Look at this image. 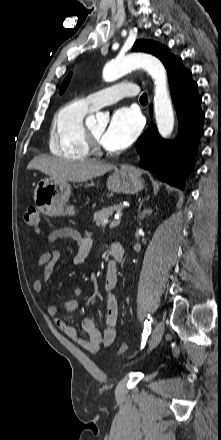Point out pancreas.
<instances>
[{
  "mask_svg": "<svg viewBox=\"0 0 221 440\" xmlns=\"http://www.w3.org/2000/svg\"><path fill=\"white\" fill-rule=\"evenodd\" d=\"M121 206H109L94 213L93 221L98 227L104 228L106 226V219L110 217L114 212L120 213Z\"/></svg>",
  "mask_w": 221,
  "mask_h": 440,
  "instance_id": "cf45deb5",
  "label": "pancreas"
}]
</instances>
